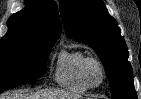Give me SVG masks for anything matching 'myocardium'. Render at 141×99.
<instances>
[{"label": "myocardium", "mask_w": 141, "mask_h": 99, "mask_svg": "<svg viewBox=\"0 0 141 99\" xmlns=\"http://www.w3.org/2000/svg\"><path fill=\"white\" fill-rule=\"evenodd\" d=\"M92 64H95L101 72V79L96 84L91 82V80L89 79V76H88V68ZM81 75H82L84 82L90 88H96V87H99L105 81V79H106V69H105L103 62L98 57L87 56L82 63Z\"/></svg>", "instance_id": "1"}]
</instances>
